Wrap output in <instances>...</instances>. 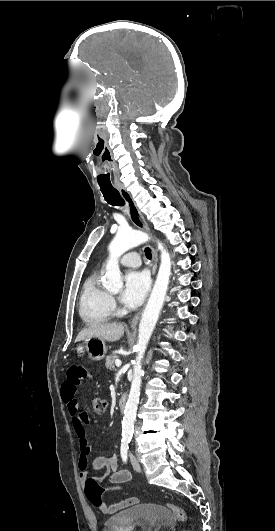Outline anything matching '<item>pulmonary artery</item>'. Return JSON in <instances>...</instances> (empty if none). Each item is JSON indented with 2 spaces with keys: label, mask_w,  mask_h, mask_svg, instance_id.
<instances>
[{
  "label": "pulmonary artery",
  "mask_w": 275,
  "mask_h": 531,
  "mask_svg": "<svg viewBox=\"0 0 275 531\" xmlns=\"http://www.w3.org/2000/svg\"><path fill=\"white\" fill-rule=\"evenodd\" d=\"M136 255V252H130L129 256H126V258L122 260L123 264L129 265V268L133 265H136L140 268L139 260L134 258Z\"/></svg>",
  "instance_id": "obj_1"
}]
</instances>
